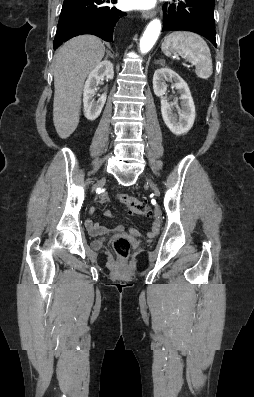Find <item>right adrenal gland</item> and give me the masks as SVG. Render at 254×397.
<instances>
[{
    "label": "right adrenal gland",
    "mask_w": 254,
    "mask_h": 397,
    "mask_svg": "<svg viewBox=\"0 0 254 397\" xmlns=\"http://www.w3.org/2000/svg\"><path fill=\"white\" fill-rule=\"evenodd\" d=\"M106 53H107L106 59H107L108 55H110L112 57V55L110 54V52L108 50H106Z\"/></svg>",
    "instance_id": "obj_1"
}]
</instances>
